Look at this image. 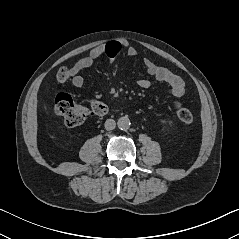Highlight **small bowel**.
<instances>
[{
	"label": "small bowel",
	"instance_id": "c3829d8e",
	"mask_svg": "<svg viewBox=\"0 0 239 239\" xmlns=\"http://www.w3.org/2000/svg\"><path fill=\"white\" fill-rule=\"evenodd\" d=\"M125 40L113 41L95 47L87 56L79 59L71 68L72 84L80 88L84 84V78L79 74L82 70L91 67L94 62L103 55L114 58L123 46H126ZM136 51L132 47L127 48V55L134 56ZM144 66L149 74L153 75L158 81L166 82L174 96H181L184 93V83L182 79L170 72L168 69L157 65L155 62L144 59ZM137 84L142 88H148L150 81L147 79H139Z\"/></svg>",
	"mask_w": 239,
	"mask_h": 239
}]
</instances>
